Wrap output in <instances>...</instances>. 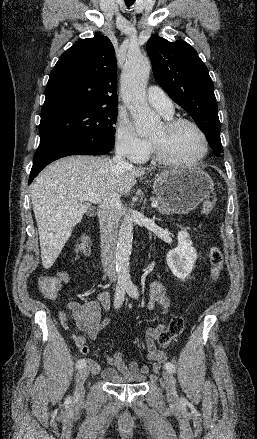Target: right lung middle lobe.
<instances>
[{"label": "right lung middle lobe", "instance_id": "1", "mask_svg": "<svg viewBox=\"0 0 257 439\" xmlns=\"http://www.w3.org/2000/svg\"><path fill=\"white\" fill-rule=\"evenodd\" d=\"M118 109L88 107L48 116L40 122V143L63 136L86 137L115 144L114 133Z\"/></svg>", "mask_w": 257, "mask_h": 439}]
</instances>
